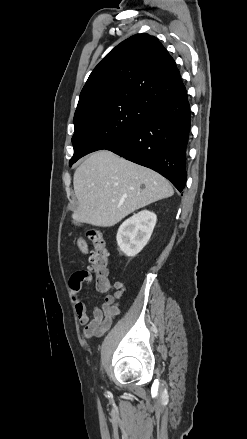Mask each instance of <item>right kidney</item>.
I'll use <instances>...</instances> for the list:
<instances>
[{
	"label": "right kidney",
	"mask_w": 247,
	"mask_h": 439,
	"mask_svg": "<svg viewBox=\"0 0 247 439\" xmlns=\"http://www.w3.org/2000/svg\"><path fill=\"white\" fill-rule=\"evenodd\" d=\"M157 221L155 213L143 210L125 220L117 232V244L126 256H136L148 243Z\"/></svg>",
	"instance_id": "obj_1"
}]
</instances>
